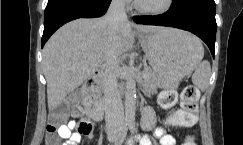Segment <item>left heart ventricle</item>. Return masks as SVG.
<instances>
[{
  "mask_svg": "<svg viewBox=\"0 0 243 145\" xmlns=\"http://www.w3.org/2000/svg\"><path fill=\"white\" fill-rule=\"evenodd\" d=\"M139 3L148 9H159L163 7L167 0H138Z\"/></svg>",
  "mask_w": 243,
  "mask_h": 145,
  "instance_id": "b2bd125f",
  "label": "left heart ventricle"
}]
</instances>
